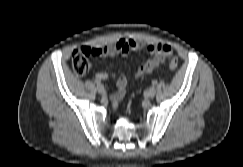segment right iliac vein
<instances>
[{"instance_id": "right-iliac-vein-1", "label": "right iliac vein", "mask_w": 243, "mask_h": 167, "mask_svg": "<svg viewBox=\"0 0 243 167\" xmlns=\"http://www.w3.org/2000/svg\"><path fill=\"white\" fill-rule=\"evenodd\" d=\"M97 91H98L99 94H104L105 93V89H104V87L102 85L97 87Z\"/></svg>"}]
</instances>
